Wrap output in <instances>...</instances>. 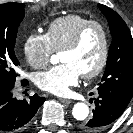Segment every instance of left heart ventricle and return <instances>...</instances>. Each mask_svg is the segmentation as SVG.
Masks as SVG:
<instances>
[{"instance_id": "left-heart-ventricle-1", "label": "left heart ventricle", "mask_w": 133, "mask_h": 133, "mask_svg": "<svg viewBox=\"0 0 133 133\" xmlns=\"http://www.w3.org/2000/svg\"><path fill=\"white\" fill-rule=\"evenodd\" d=\"M103 36L97 27L90 28L78 48L62 51L60 60L72 63L83 74L93 70L101 57Z\"/></svg>"}]
</instances>
